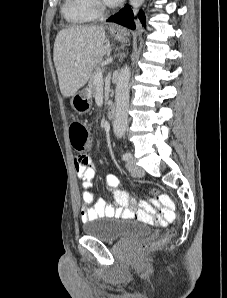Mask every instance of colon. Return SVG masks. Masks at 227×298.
<instances>
[{
	"instance_id": "1",
	"label": "colon",
	"mask_w": 227,
	"mask_h": 298,
	"mask_svg": "<svg viewBox=\"0 0 227 298\" xmlns=\"http://www.w3.org/2000/svg\"><path fill=\"white\" fill-rule=\"evenodd\" d=\"M70 140L73 148L75 150H89L92 145V135L89 128L80 121H74L71 123L69 128ZM153 195L157 197V202L164 207V217L167 221L174 219V204L170 198L166 195H160L158 190L152 191ZM154 223L157 220L153 221ZM174 235L173 231L167 232L162 238L157 241L144 244L141 246L140 250L142 252L151 251L159 248L160 246L166 244Z\"/></svg>"
}]
</instances>
